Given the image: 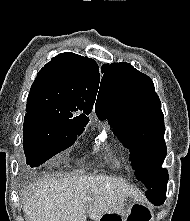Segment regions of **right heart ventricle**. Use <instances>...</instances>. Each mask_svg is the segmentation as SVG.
Here are the masks:
<instances>
[{
    "mask_svg": "<svg viewBox=\"0 0 190 221\" xmlns=\"http://www.w3.org/2000/svg\"><path fill=\"white\" fill-rule=\"evenodd\" d=\"M115 163H116L117 166H119V162L118 161H116Z\"/></svg>",
    "mask_w": 190,
    "mask_h": 221,
    "instance_id": "obj_1",
    "label": "right heart ventricle"
}]
</instances>
